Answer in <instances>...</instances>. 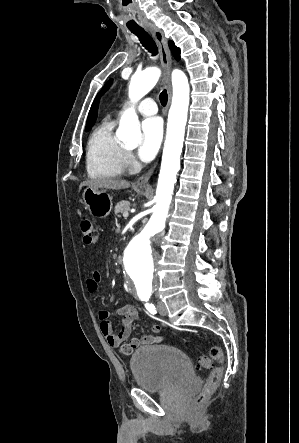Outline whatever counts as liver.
<instances>
[{
	"label": "liver",
	"mask_w": 299,
	"mask_h": 443,
	"mask_svg": "<svg viewBox=\"0 0 299 443\" xmlns=\"http://www.w3.org/2000/svg\"><path fill=\"white\" fill-rule=\"evenodd\" d=\"M83 186H89L93 188H104L109 190H121L126 189L130 187V183L126 180H116V179H94V180H87L85 182H82L80 184L79 190Z\"/></svg>",
	"instance_id": "6515ba94"
}]
</instances>
